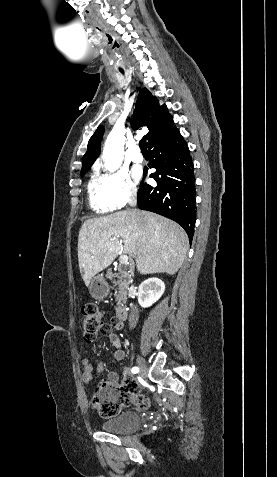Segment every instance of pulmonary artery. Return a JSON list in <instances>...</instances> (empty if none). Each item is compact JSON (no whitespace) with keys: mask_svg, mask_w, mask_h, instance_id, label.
<instances>
[{"mask_svg":"<svg viewBox=\"0 0 277 477\" xmlns=\"http://www.w3.org/2000/svg\"><path fill=\"white\" fill-rule=\"evenodd\" d=\"M131 157L134 162L140 163L143 161V155L141 154L140 149L138 147H135L133 149Z\"/></svg>","mask_w":277,"mask_h":477,"instance_id":"pulmonary-artery-1","label":"pulmonary artery"}]
</instances>
